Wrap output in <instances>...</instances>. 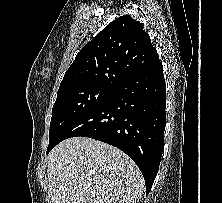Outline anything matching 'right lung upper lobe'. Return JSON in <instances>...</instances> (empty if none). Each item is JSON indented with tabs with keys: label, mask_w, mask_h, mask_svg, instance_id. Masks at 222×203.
Wrapping results in <instances>:
<instances>
[{
	"label": "right lung upper lobe",
	"mask_w": 222,
	"mask_h": 203,
	"mask_svg": "<svg viewBox=\"0 0 222 203\" xmlns=\"http://www.w3.org/2000/svg\"><path fill=\"white\" fill-rule=\"evenodd\" d=\"M156 59L157 51L142 24L123 15L80 50L59 90L90 85L113 88L122 78Z\"/></svg>",
	"instance_id": "1"
}]
</instances>
